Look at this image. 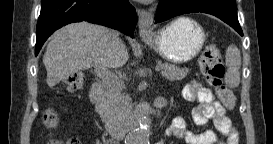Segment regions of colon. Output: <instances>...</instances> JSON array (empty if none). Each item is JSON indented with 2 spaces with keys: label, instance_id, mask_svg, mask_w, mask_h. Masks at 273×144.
Instances as JSON below:
<instances>
[{
  "label": "colon",
  "instance_id": "1",
  "mask_svg": "<svg viewBox=\"0 0 273 144\" xmlns=\"http://www.w3.org/2000/svg\"><path fill=\"white\" fill-rule=\"evenodd\" d=\"M199 69L208 85L216 90L220 101L228 109H232L235 105V98L232 92L223 84L225 67L221 52L217 46H207L199 59ZM84 82V74L76 72L68 78L67 86L71 91H78L83 87ZM45 121L52 126L56 122V117L52 112H48L45 115Z\"/></svg>",
  "mask_w": 273,
  "mask_h": 144
}]
</instances>
